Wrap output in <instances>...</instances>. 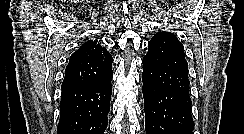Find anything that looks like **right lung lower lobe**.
<instances>
[{"label": "right lung lower lobe", "mask_w": 244, "mask_h": 134, "mask_svg": "<svg viewBox=\"0 0 244 134\" xmlns=\"http://www.w3.org/2000/svg\"><path fill=\"white\" fill-rule=\"evenodd\" d=\"M112 76L92 84L62 88L57 134H104L110 110Z\"/></svg>", "instance_id": "obj_1"}]
</instances>
